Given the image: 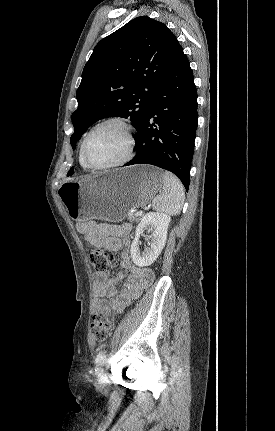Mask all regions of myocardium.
<instances>
[{
  "label": "myocardium",
  "instance_id": "1",
  "mask_svg": "<svg viewBox=\"0 0 275 431\" xmlns=\"http://www.w3.org/2000/svg\"><path fill=\"white\" fill-rule=\"evenodd\" d=\"M109 124H117L120 127H122L124 129V131L126 132L127 139H128V148H127L126 154L124 155L123 158H121L120 160L113 162V163L104 164V165L91 164L88 161L87 156H86L87 142L95 131H97L99 128H101L105 125H109ZM135 145H136V141H135L134 129H133L132 125L122 117H110V118H107L105 120L100 121L99 123L94 125L89 130V132L86 134V136L84 137V139L82 141L80 153H81V157H82L84 164L88 168L94 169V170H105V169H111V168L123 166V165L127 164L129 161H131L133 156H134Z\"/></svg>",
  "mask_w": 275,
  "mask_h": 431
}]
</instances>
